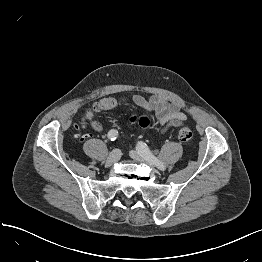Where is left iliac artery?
Here are the masks:
<instances>
[{"instance_id": "44dca946", "label": "left iliac artery", "mask_w": 262, "mask_h": 262, "mask_svg": "<svg viewBox=\"0 0 262 262\" xmlns=\"http://www.w3.org/2000/svg\"><path fill=\"white\" fill-rule=\"evenodd\" d=\"M136 149L150 164L158 167L160 170H165L163 163L150 152L145 143L138 142Z\"/></svg>"}]
</instances>
